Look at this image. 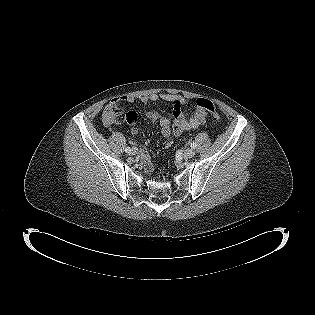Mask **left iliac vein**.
Listing matches in <instances>:
<instances>
[{"label": "left iliac vein", "mask_w": 315, "mask_h": 315, "mask_svg": "<svg viewBox=\"0 0 315 315\" xmlns=\"http://www.w3.org/2000/svg\"><path fill=\"white\" fill-rule=\"evenodd\" d=\"M195 155V151L191 148H188L184 151L183 156L188 159V158H192Z\"/></svg>", "instance_id": "obj_1"}]
</instances>
